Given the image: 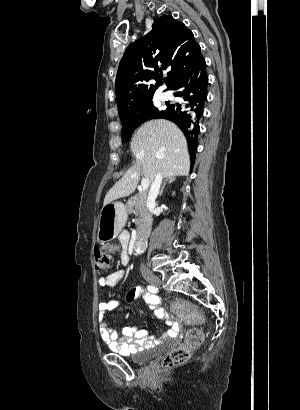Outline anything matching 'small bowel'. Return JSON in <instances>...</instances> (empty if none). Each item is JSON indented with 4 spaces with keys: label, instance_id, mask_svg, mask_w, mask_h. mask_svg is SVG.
Wrapping results in <instances>:
<instances>
[{
    "label": "small bowel",
    "instance_id": "c3829d8e",
    "mask_svg": "<svg viewBox=\"0 0 300 410\" xmlns=\"http://www.w3.org/2000/svg\"><path fill=\"white\" fill-rule=\"evenodd\" d=\"M121 244L120 260L122 264H127L129 260L128 244L129 236L126 233H122L119 236ZM124 270L118 269L99 280L101 287H115L124 278ZM141 297L149 308L155 313V315L161 319H164L170 326V329L165 331L159 337H151L147 329L138 326H125L121 330V338H118L117 332L110 328L105 321V315L108 311H112L120 308L124 302L122 300H110L102 301L98 303V324L99 334L104 343L115 352L122 355H130L137 353L145 348L150 347L156 343L159 339L166 336L176 335L180 330V326L170 319L168 313L162 308L161 301L158 296L149 294L143 291L141 288L136 287L130 290L125 302L131 303L136 298ZM130 313L127 312L125 318L129 317Z\"/></svg>",
    "mask_w": 300,
    "mask_h": 410
}]
</instances>
